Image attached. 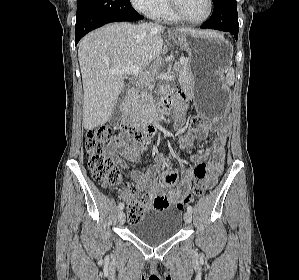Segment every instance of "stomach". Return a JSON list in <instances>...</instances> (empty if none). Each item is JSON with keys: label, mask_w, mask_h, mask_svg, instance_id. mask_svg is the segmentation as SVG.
<instances>
[{"label": "stomach", "mask_w": 299, "mask_h": 280, "mask_svg": "<svg viewBox=\"0 0 299 280\" xmlns=\"http://www.w3.org/2000/svg\"><path fill=\"white\" fill-rule=\"evenodd\" d=\"M171 39L189 55L191 91L196 110L209 118L221 116L228 100L223 73L231 62V44L213 31L175 33Z\"/></svg>", "instance_id": "obj_1"}]
</instances>
